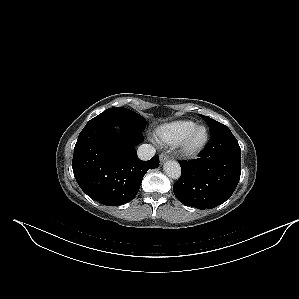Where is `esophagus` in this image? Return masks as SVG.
Here are the masks:
<instances>
[{"mask_svg":"<svg viewBox=\"0 0 299 299\" xmlns=\"http://www.w3.org/2000/svg\"><path fill=\"white\" fill-rule=\"evenodd\" d=\"M169 159V156L167 154H161L160 155V162L164 163L165 161H167Z\"/></svg>","mask_w":299,"mask_h":299,"instance_id":"esophagus-1","label":"esophagus"}]
</instances>
